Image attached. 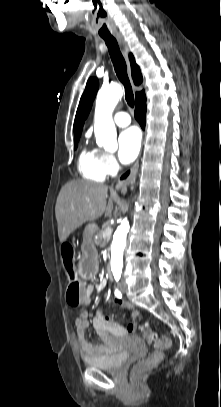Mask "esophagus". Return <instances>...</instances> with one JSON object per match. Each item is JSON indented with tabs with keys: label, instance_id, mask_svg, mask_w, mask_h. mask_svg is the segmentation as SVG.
Here are the masks:
<instances>
[{
	"label": "esophagus",
	"instance_id": "esophagus-1",
	"mask_svg": "<svg viewBox=\"0 0 221 407\" xmlns=\"http://www.w3.org/2000/svg\"><path fill=\"white\" fill-rule=\"evenodd\" d=\"M115 38H116V40H117V42H118V44H119V46H120V48L122 50V53H123L124 57L126 58V60L128 62V46H127L124 38L121 35H116ZM138 169H139V160H137L135 162V164L133 165L128 178L121 181V182H119L116 185V190L126 189L127 186L133 185L135 183V180H136Z\"/></svg>",
	"mask_w": 221,
	"mask_h": 407
}]
</instances>
